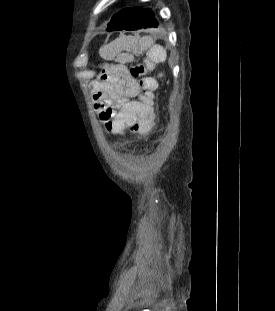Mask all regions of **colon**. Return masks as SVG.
<instances>
[{
    "instance_id": "1",
    "label": "colon",
    "mask_w": 275,
    "mask_h": 311,
    "mask_svg": "<svg viewBox=\"0 0 275 311\" xmlns=\"http://www.w3.org/2000/svg\"><path fill=\"white\" fill-rule=\"evenodd\" d=\"M151 62V57H145L143 61L133 65L130 69V73L134 78H138L139 81V94L143 98H152L154 91L156 90V84L151 77L145 76L147 70L154 64ZM104 72L101 78L105 76ZM106 130L110 133H117L116 130H127L128 129V118H109L105 119ZM143 134V133H139ZM148 134V133H146Z\"/></svg>"
}]
</instances>
